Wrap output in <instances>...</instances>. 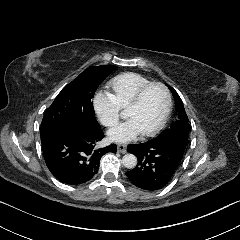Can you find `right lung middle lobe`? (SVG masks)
Returning a JSON list of instances; mask_svg holds the SVG:
<instances>
[{"mask_svg":"<svg viewBox=\"0 0 240 240\" xmlns=\"http://www.w3.org/2000/svg\"><path fill=\"white\" fill-rule=\"evenodd\" d=\"M116 68L113 65L90 67L65 86L43 117L41 135L70 127H100L92 98L99 84Z\"/></svg>","mask_w":240,"mask_h":240,"instance_id":"right-lung-middle-lobe-1","label":"right lung middle lobe"}]
</instances>
